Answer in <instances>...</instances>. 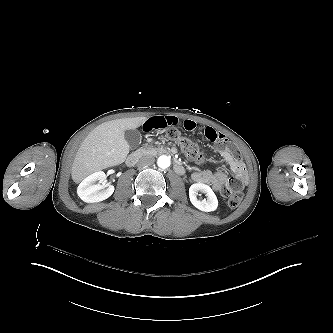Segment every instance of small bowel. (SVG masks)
Listing matches in <instances>:
<instances>
[{
  "instance_id": "c3829d8e",
  "label": "small bowel",
  "mask_w": 333,
  "mask_h": 333,
  "mask_svg": "<svg viewBox=\"0 0 333 333\" xmlns=\"http://www.w3.org/2000/svg\"><path fill=\"white\" fill-rule=\"evenodd\" d=\"M179 123H182L183 127L188 131H193L197 127L196 122L192 119H184L180 121V119L176 117H151L144 122L143 128L147 131L155 128H165ZM204 135L208 142H222L221 145L219 144L213 149L215 151L219 149L220 154L227 161L234 173V178L240 182L242 186L246 185L248 183V176L245 165L238 154L230 148L231 146L229 144H227V141L224 139V134L211 127H207L204 130ZM212 161L216 163L218 160L214 158ZM192 179L198 183H209L216 191H220L223 186L229 184L228 175L222 170L214 172L198 171L192 174Z\"/></svg>"
}]
</instances>
